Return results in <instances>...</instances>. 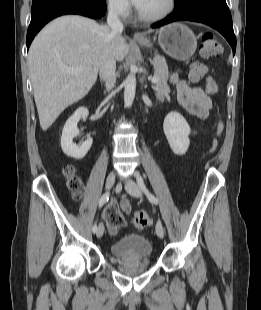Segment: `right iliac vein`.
Returning <instances> with one entry per match:
<instances>
[{"mask_svg": "<svg viewBox=\"0 0 261 310\" xmlns=\"http://www.w3.org/2000/svg\"><path fill=\"white\" fill-rule=\"evenodd\" d=\"M115 179H116L115 172H111L109 174V176L107 177V180H106V185H105L106 190H110L111 189V187L115 183ZM103 234H104V226H103L102 223H100L99 226H98V230H97V237L100 238V237H102Z\"/></svg>", "mask_w": 261, "mask_h": 310, "instance_id": "63e3f726", "label": "right iliac vein"}]
</instances>
